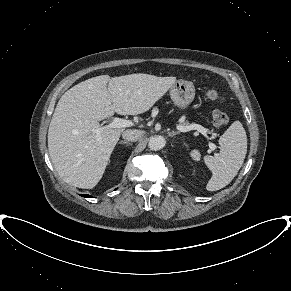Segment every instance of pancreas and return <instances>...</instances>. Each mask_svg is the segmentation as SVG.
Instances as JSON below:
<instances>
[{
    "label": "pancreas",
    "mask_w": 291,
    "mask_h": 291,
    "mask_svg": "<svg viewBox=\"0 0 291 291\" xmlns=\"http://www.w3.org/2000/svg\"><path fill=\"white\" fill-rule=\"evenodd\" d=\"M183 124H184V125H188L189 123H188V122H184Z\"/></svg>",
    "instance_id": "1"
}]
</instances>
